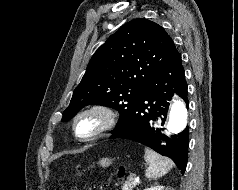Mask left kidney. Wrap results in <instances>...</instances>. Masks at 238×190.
Returning a JSON list of instances; mask_svg holds the SVG:
<instances>
[{
    "instance_id": "left-kidney-1",
    "label": "left kidney",
    "mask_w": 238,
    "mask_h": 190,
    "mask_svg": "<svg viewBox=\"0 0 238 190\" xmlns=\"http://www.w3.org/2000/svg\"><path fill=\"white\" fill-rule=\"evenodd\" d=\"M144 190H164V187L161 185H156L154 187L146 188Z\"/></svg>"
}]
</instances>
